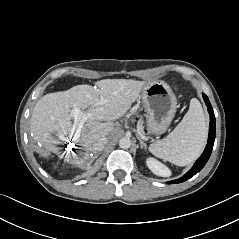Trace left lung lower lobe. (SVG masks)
Listing matches in <instances>:
<instances>
[{
    "mask_svg": "<svg viewBox=\"0 0 239 239\" xmlns=\"http://www.w3.org/2000/svg\"><path fill=\"white\" fill-rule=\"evenodd\" d=\"M204 101L208 107V112L210 114V126H209V135H208V142L206 145V148L200 158L195 162L194 166L181 178L173 181H169L168 184H174V183H181L189 178L193 177L195 174H197L207 163L215 141V134H216V128H215V115L213 112V109L211 107V104L209 102L208 97L203 94Z\"/></svg>",
    "mask_w": 239,
    "mask_h": 239,
    "instance_id": "1",
    "label": "left lung lower lobe"
}]
</instances>
